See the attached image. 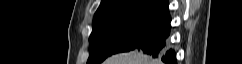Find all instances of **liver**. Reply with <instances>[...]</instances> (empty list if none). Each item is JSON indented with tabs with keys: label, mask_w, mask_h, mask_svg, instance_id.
<instances>
[{
	"label": "liver",
	"mask_w": 242,
	"mask_h": 64,
	"mask_svg": "<svg viewBox=\"0 0 242 64\" xmlns=\"http://www.w3.org/2000/svg\"><path fill=\"white\" fill-rule=\"evenodd\" d=\"M104 64H156L155 60H151L142 52L132 51L128 53H120L109 57Z\"/></svg>",
	"instance_id": "1"
}]
</instances>
